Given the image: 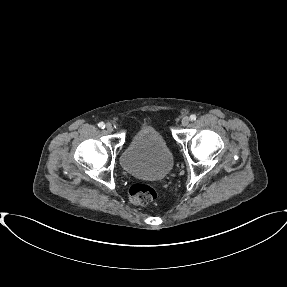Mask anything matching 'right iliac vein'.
Returning <instances> with one entry per match:
<instances>
[{
  "mask_svg": "<svg viewBox=\"0 0 287 287\" xmlns=\"http://www.w3.org/2000/svg\"><path fill=\"white\" fill-rule=\"evenodd\" d=\"M106 130H107L108 132H112V131H113V126H112L110 123H108V124L106 125Z\"/></svg>",
  "mask_w": 287,
  "mask_h": 287,
  "instance_id": "63e3f726",
  "label": "right iliac vein"
}]
</instances>
